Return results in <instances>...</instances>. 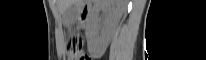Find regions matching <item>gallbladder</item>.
I'll list each match as a JSON object with an SVG mask.
<instances>
[{
    "mask_svg": "<svg viewBox=\"0 0 206 60\" xmlns=\"http://www.w3.org/2000/svg\"><path fill=\"white\" fill-rule=\"evenodd\" d=\"M78 17V10L76 8V5L73 3L70 7H68L62 15L63 23L66 26H71L77 21Z\"/></svg>",
    "mask_w": 206,
    "mask_h": 60,
    "instance_id": "bac80fb5",
    "label": "gallbladder"
}]
</instances>
